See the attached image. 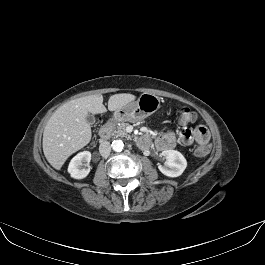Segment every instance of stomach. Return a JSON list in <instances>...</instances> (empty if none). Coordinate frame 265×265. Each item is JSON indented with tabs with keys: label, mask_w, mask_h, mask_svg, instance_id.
Segmentation results:
<instances>
[{
	"label": "stomach",
	"mask_w": 265,
	"mask_h": 265,
	"mask_svg": "<svg viewBox=\"0 0 265 265\" xmlns=\"http://www.w3.org/2000/svg\"><path fill=\"white\" fill-rule=\"evenodd\" d=\"M160 107V98L154 94L143 93L136 101L129 102L115 110L113 117L118 121L136 122L156 112Z\"/></svg>",
	"instance_id": "obj_1"
}]
</instances>
